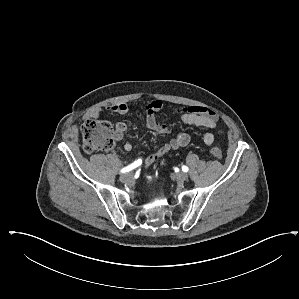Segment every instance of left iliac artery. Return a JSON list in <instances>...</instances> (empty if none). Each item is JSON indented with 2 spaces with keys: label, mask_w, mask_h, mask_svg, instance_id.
Listing matches in <instances>:
<instances>
[{
  "label": "left iliac artery",
  "mask_w": 299,
  "mask_h": 299,
  "mask_svg": "<svg viewBox=\"0 0 299 299\" xmlns=\"http://www.w3.org/2000/svg\"><path fill=\"white\" fill-rule=\"evenodd\" d=\"M182 170L184 171V172H188V167L187 166H182Z\"/></svg>",
  "instance_id": "left-iliac-artery-1"
}]
</instances>
